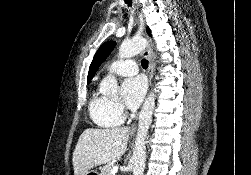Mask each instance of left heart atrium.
Segmentation results:
<instances>
[{"mask_svg": "<svg viewBox=\"0 0 251 175\" xmlns=\"http://www.w3.org/2000/svg\"><path fill=\"white\" fill-rule=\"evenodd\" d=\"M146 85L141 76H131L122 84V100L131 110L136 109L145 95Z\"/></svg>", "mask_w": 251, "mask_h": 175, "instance_id": "39dd6f15", "label": "left heart atrium"}]
</instances>
